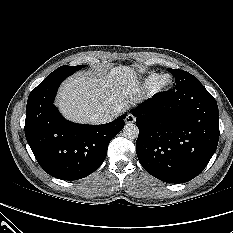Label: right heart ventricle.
<instances>
[{"mask_svg": "<svg viewBox=\"0 0 233 233\" xmlns=\"http://www.w3.org/2000/svg\"><path fill=\"white\" fill-rule=\"evenodd\" d=\"M159 77H160V74L156 72H153L147 75L143 80L144 88L152 89Z\"/></svg>", "mask_w": 233, "mask_h": 233, "instance_id": "right-heart-ventricle-1", "label": "right heart ventricle"}]
</instances>
